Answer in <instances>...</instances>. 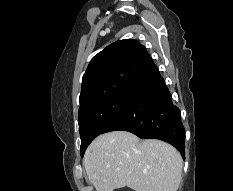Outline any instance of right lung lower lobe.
Returning <instances> with one entry per match:
<instances>
[{"mask_svg":"<svg viewBox=\"0 0 233 191\" xmlns=\"http://www.w3.org/2000/svg\"><path fill=\"white\" fill-rule=\"evenodd\" d=\"M122 111L100 134L124 130L142 139H160L173 145L185 158V130L179 109L153 60L128 90Z\"/></svg>","mask_w":233,"mask_h":191,"instance_id":"98d812e1","label":"right lung lower lobe"}]
</instances>
